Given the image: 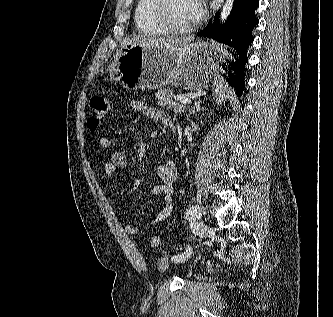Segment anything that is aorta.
<instances>
[{"mask_svg": "<svg viewBox=\"0 0 333 317\" xmlns=\"http://www.w3.org/2000/svg\"><path fill=\"white\" fill-rule=\"evenodd\" d=\"M234 0H226L221 12V22H224L230 15Z\"/></svg>", "mask_w": 333, "mask_h": 317, "instance_id": "aorta-1", "label": "aorta"}]
</instances>
